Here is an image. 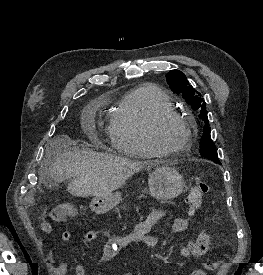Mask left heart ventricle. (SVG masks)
Instances as JSON below:
<instances>
[{"label":"left heart ventricle","mask_w":263,"mask_h":275,"mask_svg":"<svg viewBox=\"0 0 263 275\" xmlns=\"http://www.w3.org/2000/svg\"><path fill=\"white\" fill-rule=\"evenodd\" d=\"M187 130L184 124L178 120L164 122L157 131V139L165 148H176L186 139Z\"/></svg>","instance_id":"1"}]
</instances>
